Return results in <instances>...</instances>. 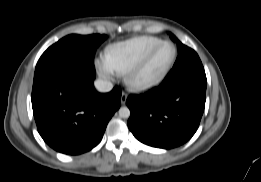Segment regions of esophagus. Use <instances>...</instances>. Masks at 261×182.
<instances>
[{
	"instance_id": "obj_1",
	"label": "esophagus",
	"mask_w": 261,
	"mask_h": 182,
	"mask_svg": "<svg viewBox=\"0 0 261 182\" xmlns=\"http://www.w3.org/2000/svg\"><path fill=\"white\" fill-rule=\"evenodd\" d=\"M127 97H128V94L126 92H122V95H121V104L122 105H124L126 103Z\"/></svg>"
}]
</instances>
